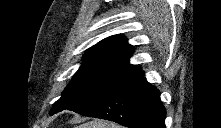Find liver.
Returning a JSON list of instances; mask_svg holds the SVG:
<instances>
[{
	"mask_svg": "<svg viewBox=\"0 0 221 128\" xmlns=\"http://www.w3.org/2000/svg\"><path fill=\"white\" fill-rule=\"evenodd\" d=\"M75 128H122L120 125L110 123L105 120L95 119L90 122L81 124Z\"/></svg>",
	"mask_w": 221,
	"mask_h": 128,
	"instance_id": "obj_1",
	"label": "liver"
}]
</instances>
